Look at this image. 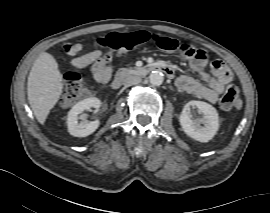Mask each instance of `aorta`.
Masks as SVG:
<instances>
[{
	"instance_id": "762f6f07",
	"label": "aorta",
	"mask_w": 270,
	"mask_h": 213,
	"mask_svg": "<svg viewBox=\"0 0 270 213\" xmlns=\"http://www.w3.org/2000/svg\"><path fill=\"white\" fill-rule=\"evenodd\" d=\"M149 81L153 86H160L164 81V75L160 71H153L149 76Z\"/></svg>"
}]
</instances>
